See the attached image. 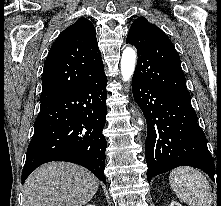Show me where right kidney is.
Masks as SVG:
<instances>
[{"instance_id": "1", "label": "right kidney", "mask_w": 221, "mask_h": 206, "mask_svg": "<svg viewBox=\"0 0 221 206\" xmlns=\"http://www.w3.org/2000/svg\"><path fill=\"white\" fill-rule=\"evenodd\" d=\"M86 206H95L94 204H88V205H86Z\"/></svg>"}]
</instances>
